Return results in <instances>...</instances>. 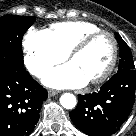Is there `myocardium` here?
Returning a JSON list of instances; mask_svg holds the SVG:
<instances>
[{"instance_id": "1", "label": "myocardium", "mask_w": 136, "mask_h": 136, "mask_svg": "<svg viewBox=\"0 0 136 136\" xmlns=\"http://www.w3.org/2000/svg\"><path fill=\"white\" fill-rule=\"evenodd\" d=\"M101 35H107L110 37L112 41V57L107 68L99 76L88 81V83L92 85L100 84L106 81L111 76L116 67L119 55V47L115 35L108 30L102 29L89 33L81 38L66 55V58L70 61L73 57L83 52L93 40Z\"/></svg>"}]
</instances>
